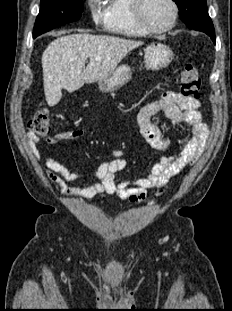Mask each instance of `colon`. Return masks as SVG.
<instances>
[{"mask_svg":"<svg viewBox=\"0 0 232 311\" xmlns=\"http://www.w3.org/2000/svg\"><path fill=\"white\" fill-rule=\"evenodd\" d=\"M181 82V94L187 98L198 100L200 97L201 80L198 69L193 64L184 65L179 74ZM30 131L38 135H44L50 128V114L46 109L38 111L28 125ZM162 190L158 192L161 194Z\"/></svg>","mask_w":232,"mask_h":311,"instance_id":"colon-1","label":"colon"}]
</instances>
